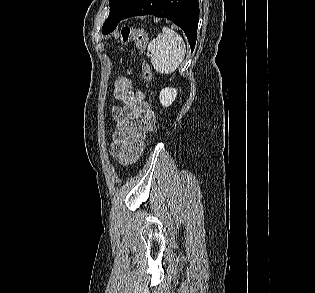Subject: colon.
I'll return each mask as SVG.
<instances>
[{"label":"colon","instance_id":"colon-1","mask_svg":"<svg viewBox=\"0 0 315 293\" xmlns=\"http://www.w3.org/2000/svg\"><path fill=\"white\" fill-rule=\"evenodd\" d=\"M135 40L139 47V52L141 53L142 59H145L144 53L147 47V35L144 30L132 28L130 26H125L122 28L120 33V41L123 45H126L129 41ZM126 76L121 78H116L113 82L112 93L113 94H123L129 93L131 91V85L134 84L133 78H128L127 75L130 74L129 70H125ZM142 77L146 82H150L152 79V73L150 67L147 63H143L142 67ZM144 144H140L132 157L126 162L127 164L136 161L143 151Z\"/></svg>","mask_w":315,"mask_h":293}]
</instances>
